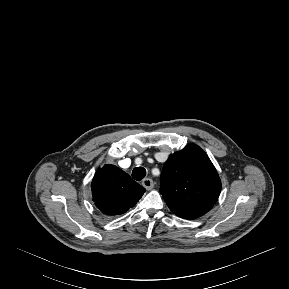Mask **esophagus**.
Masks as SVG:
<instances>
[{"label":"esophagus","mask_w":289,"mask_h":289,"mask_svg":"<svg viewBox=\"0 0 289 289\" xmlns=\"http://www.w3.org/2000/svg\"><path fill=\"white\" fill-rule=\"evenodd\" d=\"M142 185L147 189V190H151L154 187V182L152 181V179L150 178H145L142 181Z\"/></svg>","instance_id":"1"}]
</instances>
